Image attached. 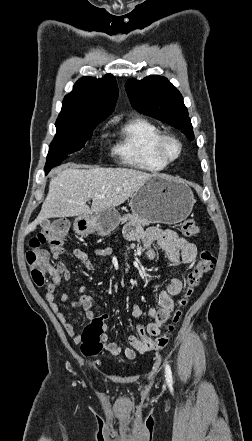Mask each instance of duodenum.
<instances>
[{
  "instance_id": "410a0bca",
  "label": "duodenum",
  "mask_w": 252,
  "mask_h": 441,
  "mask_svg": "<svg viewBox=\"0 0 252 441\" xmlns=\"http://www.w3.org/2000/svg\"><path fill=\"white\" fill-rule=\"evenodd\" d=\"M81 229H84L85 231L89 229V224L87 220H83L82 223H80Z\"/></svg>"
}]
</instances>
